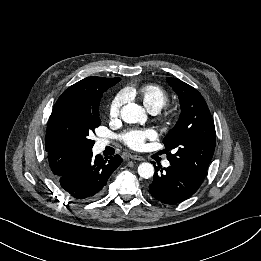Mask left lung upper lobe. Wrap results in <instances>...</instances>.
Returning a JSON list of instances; mask_svg holds the SVG:
<instances>
[{
    "label": "left lung upper lobe",
    "mask_w": 261,
    "mask_h": 261,
    "mask_svg": "<svg viewBox=\"0 0 261 261\" xmlns=\"http://www.w3.org/2000/svg\"><path fill=\"white\" fill-rule=\"evenodd\" d=\"M181 104V115L163 142L170 164L182 168L190 177L203 182L215 150V126L202 95L176 78H167Z\"/></svg>",
    "instance_id": "obj_1"
}]
</instances>
